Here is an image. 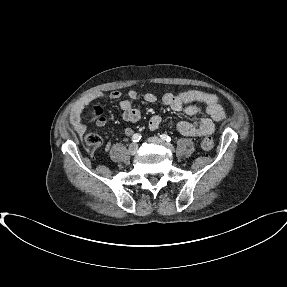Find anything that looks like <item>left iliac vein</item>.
<instances>
[{
	"instance_id": "left-iliac-vein-1",
	"label": "left iliac vein",
	"mask_w": 287,
	"mask_h": 287,
	"mask_svg": "<svg viewBox=\"0 0 287 287\" xmlns=\"http://www.w3.org/2000/svg\"><path fill=\"white\" fill-rule=\"evenodd\" d=\"M148 142L152 143V144H159V145H163L166 148L173 150V146L170 143H167L165 141H163L162 139L158 138V137H150L148 138Z\"/></svg>"
}]
</instances>
